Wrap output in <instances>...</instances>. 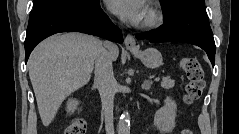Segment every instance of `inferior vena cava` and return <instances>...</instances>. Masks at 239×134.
Returning a JSON list of instances; mask_svg holds the SVG:
<instances>
[{
    "label": "inferior vena cava",
    "mask_w": 239,
    "mask_h": 134,
    "mask_svg": "<svg viewBox=\"0 0 239 134\" xmlns=\"http://www.w3.org/2000/svg\"><path fill=\"white\" fill-rule=\"evenodd\" d=\"M109 42L94 53L95 83L99 89L102 109L105 116L106 134H114L113 107L115 96V78L113 75L112 58L109 52Z\"/></svg>",
    "instance_id": "inferior-vena-cava-1"
}]
</instances>
